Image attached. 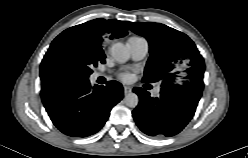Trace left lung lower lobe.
I'll return each instance as SVG.
<instances>
[{"label":"left lung lower lobe","instance_id":"obj_1","mask_svg":"<svg viewBox=\"0 0 248 158\" xmlns=\"http://www.w3.org/2000/svg\"><path fill=\"white\" fill-rule=\"evenodd\" d=\"M140 102L132 112L140 130L149 136H174L193 117L202 91L189 88L161 90L159 97H150L142 88H134Z\"/></svg>","mask_w":248,"mask_h":158}]
</instances>
